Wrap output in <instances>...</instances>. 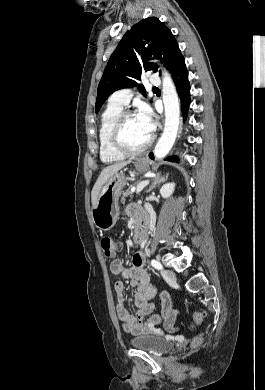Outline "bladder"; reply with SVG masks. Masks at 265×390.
Listing matches in <instances>:
<instances>
[{
	"label": "bladder",
	"instance_id": "31cf9c89",
	"mask_svg": "<svg viewBox=\"0 0 265 390\" xmlns=\"http://www.w3.org/2000/svg\"><path fill=\"white\" fill-rule=\"evenodd\" d=\"M131 345L151 354H162L171 349L170 341L157 335H140L130 341Z\"/></svg>",
	"mask_w": 265,
	"mask_h": 390
}]
</instances>
